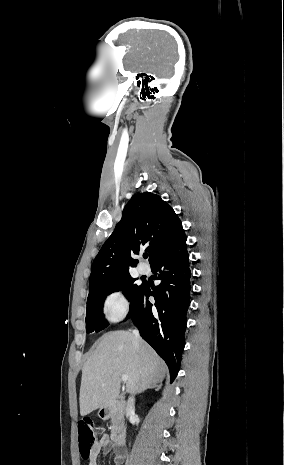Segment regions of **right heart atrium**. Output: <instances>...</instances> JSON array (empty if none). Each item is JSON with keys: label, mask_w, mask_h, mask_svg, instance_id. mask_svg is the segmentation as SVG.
<instances>
[{"label": "right heart atrium", "mask_w": 284, "mask_h": 465, "mask_svg": "<svg viewBox=\"0 0 284 465\" xmlns=\"http://www.w3.org/2000/svg\"><path fill=\"white\" fill-rule=\"evenodd\" d=\"M102 312L111 322L124 320L131 313V301L123 290H114L105 295L101 304Z\"/></svg>", "instance_id": "d8ad5b80"}]
</instances>
